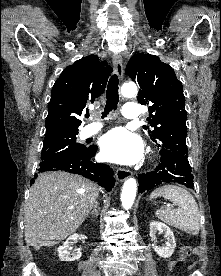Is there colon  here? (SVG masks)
<instances>
[{
    "mask_svg": "<svg viewBox=\"0 0 221 276\" xmlns=\"http://www.w3.org/2000/svg\"><path fill=\"white\" fill-rule=\"evenodd\" d=\"M189 254H190V247H188V246L182 247L181 251H180V259L181 260L185 259ZM173 265H174V263L171 262L169 264V267L172 268Z\"/></svg>",
    "mask_w": 221,
    "mask_h": 276,
    "instance_id": "1",
    "label": "colon"
}]
</instances>
